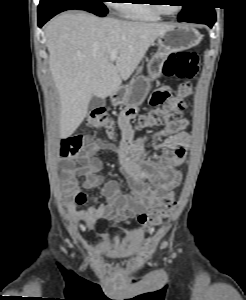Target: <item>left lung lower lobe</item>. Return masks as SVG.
Masks as SVG:
<instances>
[{
    "label": "left lung lower lobe",
    "instance_id": "left-lung-lower-lobe-1",
    "mask_svg": "<svg viewBox=\"0 0 246 300\" xmlns=\"http://www.w3.org/2000/svg\"><path fill=\"white\" fill-rule=\"evenodd\" d=\"M179 22H192L206 24L209 27H212L216 21V14L213 7L207 8L201 12L188 16L186 18L178 19Z\"/></svg>",
    "mask_w": 246,
    "mask_h": 300
}]
</instances>
